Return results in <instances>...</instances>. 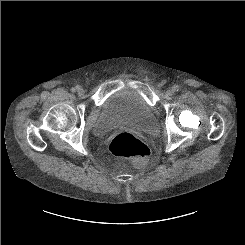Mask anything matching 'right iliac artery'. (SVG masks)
<instances>
[{"label": "right iliac artery", "instance_id": "right-iliac-artery-1", "mask_svg": "<svg viewBox=\"0 0 245 245\" xmlns=\"http://www.w3.org/2000/svg\"><path fill=\"white\" fill-rule=\"evenodd\" d=\"M78 88H79V86H76L75 88H72L71 91L75 92Z\"/></svg>", "mask_w": 245, "mask_h": 245}]
</instances>
